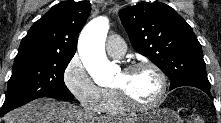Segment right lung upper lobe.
<instances>
[{"label":"right lung upper lobe","instance_id":"obj_1","mask_svg":"<svg viewBox=\"0 0 221 123\" xmlns=\"http://www.w3.org/2000/svg\"><path fill=\"white\" fill-rule=\"evenodd\" d=\"M91 11L89 1H63L36 21L22 39L19 51L74 55L79 32Z\"/></svg>","mask_w":221,"mask_h":123}]
</instances>
